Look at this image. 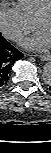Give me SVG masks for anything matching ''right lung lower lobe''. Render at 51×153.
Segmentation results:
<instances>
[{"label": "right lung lower lobe", "mask_w": 51, "mask_h": 153, "mask_svg": "<svg viewBox=\"0 0 51 153\" xmlns=\"http://www.w3.org/2000/svg\"><path fill=\"white\" fill-rule=\"evenodd\" d=\"M22 57L23 54L0 34V87L8 82L14 62Z\"/></svg>", "instance_id": "right-lung-lower-lobe-1"}]
</instances>
